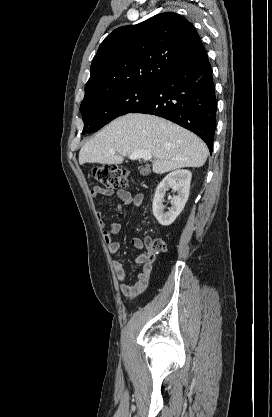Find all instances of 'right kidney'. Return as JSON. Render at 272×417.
<instances>
[{
    "mask_svg": "<svg viewBox=\"0 0 272 417\" xmlns=\"http://www.w3.org/2000/svg\"><path fill=\"white\" fill-rule=\"evenodd\" d=\"M192 174L188 170H176L169 173L157 186L153 199V215L162 226L171 225L180 215L189 197ZM172 188L177 195L171 199V208L164 212L163 198Z\"/></svg>",
    "mask_w": 272,
    "mask_h": 417,
    "instance_id": "ca27d5eb",
    "label": "right kidney"
}]
</instances>
